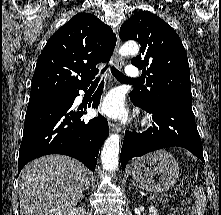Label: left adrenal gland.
<instances>
[{
  "label": "left adrenal gland",
  "instance_id": "obj_1",
  "mask_svg": "<svg viewBox=\"0 0 221 215\" xmlns=\"http://www.w3.org/2000/svg\"><path fill=\"white\" fill-rule=\"evenodd\" d=\"M131 186L137 187V185L134 183V181L131 182Z\"/></svg>",
  "mask_w": 221,
  "mask_h": 215
}]
</instances>
